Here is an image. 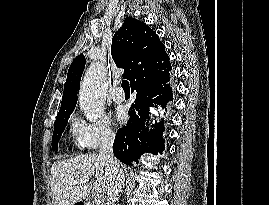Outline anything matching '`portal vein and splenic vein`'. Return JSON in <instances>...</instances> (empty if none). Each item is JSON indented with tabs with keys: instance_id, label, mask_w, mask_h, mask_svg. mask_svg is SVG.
Masks as SVG:
<instances>
[{
	"instance_id": "1",
	"label": "portal vein and splenic vein",
	"mask_w": 269,
	"mask_h": 205,
	"mask_svg": "<svg viewBox=\"0 0 269 205\" xmlns=\"http://www.w3.org/2000/svg\"><path fill=\"white\" fill-rule=\"evenodd\" d=\"M88 181H89V178H81V179H77V180L72 181L70 184H82V183H86ZM93 201H94V203L96 205H100L101 202H102V195L96 194L94 196V200Z\"/></svg>"
}]
</instances>
